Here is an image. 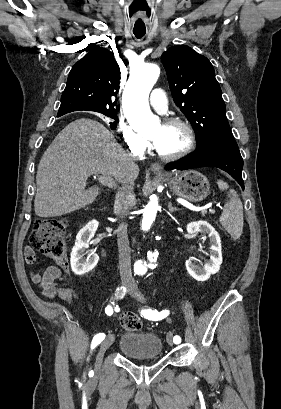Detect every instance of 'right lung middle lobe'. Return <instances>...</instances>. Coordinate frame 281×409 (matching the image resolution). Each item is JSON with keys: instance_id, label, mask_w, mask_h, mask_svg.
Wrapping results in <instances>:
<instances>
[{"instance_id": "right-lung-middle-lobe-1", "label": "right lung middle lobe", "mask_w": 281, "mask_h": 409, "mask_svg": "<svg viewBox=\"0 0 281 409\" xmlns=\"http://www.w3.org/2000/svg\"><path fill=\"white\" fill-rule=\"evenodd\" d=\"M101 113L108 116V117H110V118H112V119L117 120L116 111H108V112H101Z\"/></svg>"}]
</instances>
